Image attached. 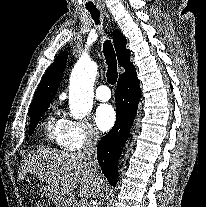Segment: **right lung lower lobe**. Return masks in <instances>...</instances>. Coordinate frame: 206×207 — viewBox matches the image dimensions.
I'll list each match as a JSON object with an SVG mask.
<instances>
[{
    "label": "right lung lower lobe",
    "instance_id": "98d812e1",
    "mask_svg": "<svg viewBox=\"0 0 206 207\" xmlns=\"http://www.w3.org/2000/svg\"><path fill=\"white\" fill-rule=\"evenodd\" d=\"M116 122L112 130L97 146V159L112 186L118 178V160L136 116L140 100V86L135 67L120 75L115 91Z\"/></svg>",
    "mask_w": 206,
    "mask_h": 207
}]
</instances>
